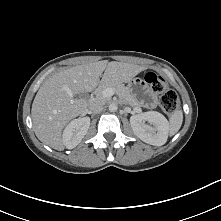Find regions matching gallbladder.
Segmentation results:
<instances>
[{"mask_svg": "<svg viewBox=\"0 0 221 221\" xmlns=\"http://www.w3.org/2000/svg\"><path fill=\"white\" fill-rule=\"evenodd\" d=\"M76 98H86V94L85 93H81L76 95Z\"/></svg>", "mask_w": 221, "mask_h": 221, "instance_id": "gallbladder-1", "label": "gallbladder"}]
</instances>
